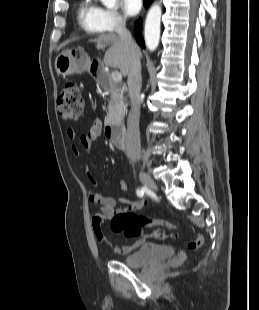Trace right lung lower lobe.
Masks as SVG:
<instances>
[{
	"mask_svg": "<svg viewBox=\"0 0 259 310\" xmlns=\"http://www.w3.org/2000/svg\"><path fill=\"white\" fill-rule=\"evenodd\" d=\"M153 0H144V5L146 8L152 3ZM142 19H139L134 24V32L136 36L137 43L142 47L145 48L144 40L142 38Z\"/></svg>",
	"mask_w": 259,
	"mask_h": 310,
	"instance_id": "obj_1",
	"label": "right lung lower lobe"
}]
</instances>
